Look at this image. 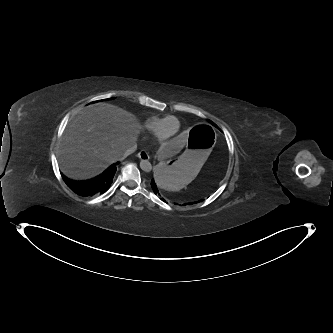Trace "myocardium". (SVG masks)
I'll return each instance as SVG.
<instances>
[{
	"instance_id": "obj_1",
	"label": "myocardium",
	"mask_w": 333,
	"mask_h": 333,
	"mask_svg": "<svg viewBox=\"0 0 333 333\" xmlns=\"http://www.w3.org/2000/svg\"><path fill=\"white\" fill-rule=\"evenodd\" d=\"M175 118L176 117L172 116V115L166 117L163 120V122H162L159 130L156 132V137L155 138H156V142L158 143L159 146H161V147L168 146L170 143H172L176 139V137H177V135L179 133V128L178 127H177L176 132L171 137L167 138L164 135V128H165V125H166L167 121L170 120V119H174L175 120Z\"/></svg>"
}]
</instances>
